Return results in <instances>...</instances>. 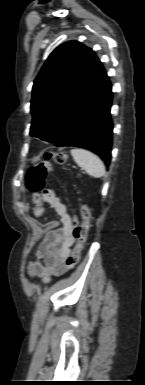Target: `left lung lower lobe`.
Wrapping results in <instances>:
<instances>
[{"instance_id": "obj_1", "label": "left lung lower lobe", "mask_w": 145, "mask_h": 385, "mask_svg": "<svg viewBox=\"0 0 145 385\" xmlns=\"http://www.w3.org/2000/svg\"><path fill=\"white\" fill-rule=\"evenodd\" d=\"M111 100V83L98 60L85 90L64 117L51 141L56 146H76L91 150L108 166L113 130Z\"/></svg>"}]
</instances>
